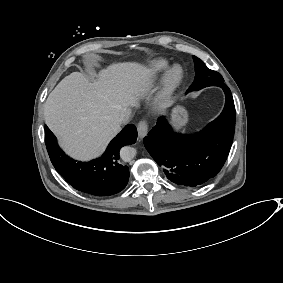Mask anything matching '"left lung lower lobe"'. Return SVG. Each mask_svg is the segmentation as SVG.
Here are the masks:
<instances>
[{
    "label": "left lung lower lobe",
    "mask_w": 283,
    "mask_h": 283,
    "mask_svg": "<svg viewBox=\"0 0 283 283\" xmlns=\"http://www.w3.org/2000/svg\"><path fill=\"white\" fill-rule=\"evenodd\" d=\"M226 96L218 118L201 132H173L165 117L144 138V145L167 178L175 184L196 187L217 175L229 154L235 129V106L230 89L219 86Z\"/></svg>",
    "instance_id": "left-lung-lower-lobe-1"
}]
</instances>
